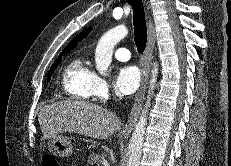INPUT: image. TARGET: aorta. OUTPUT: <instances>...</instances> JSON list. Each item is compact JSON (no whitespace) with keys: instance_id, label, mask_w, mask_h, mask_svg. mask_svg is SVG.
I'll list each match as a JSON object with an SVG mask.
<instances>
[{"instance_id":"aorta-1","label":"aorta","mask_w":231,"mask_h":166,"mask_svg":"<svg viewBox=\"0 0 231 166\" xmlns=\"http://www.w3.org/2000/svg\"><path fill=\"white\" fill-rule=\"evenodd\" d=\"M127 34V28L124 25H119L109 30L101 37L95 51L96 69L100 74L105 75L107 73L112 61L113 49L115 45L124 39ZM157 75L158 65L157 63H153L147 100L131 137L129 145V156L126 166L140 165L145 129L147 125V114L150 107L153 91L157 82Z\"/></svg>"}]
</instances>
